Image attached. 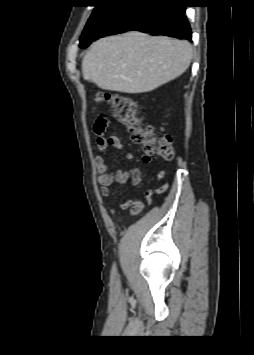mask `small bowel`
Segmentation results:
<instances>
[{
    "mask_svg": "<svg viewBox=\"0 0 254 355\" xmlns=\"http://www.w3.org/2000/svg\"><path fill=\"white\" fill-rule=\"evenodd\" d=\"M96 126V125H95ZM109 126V121L106 126V128L99 132L96 130V127L94 128L96 137H95V143L97 147V155L95 158V163L96 167L98 169V174L96 176V180L98 184L100 185V194L102 197L106 198L110 195V188L114 183H128L130 182L133 186H138L141 182V171L138 168H131L128 171H121L117 170L114 168H111L105 164V155L108 151V147L112 146L118 150L125 151V147L121 140L115 136V135H109L105 136L104 132ZM126 157L129 160L133 159V154L131 152H126ZM143 162L145 163H150L151 158L147 155L143 156ZM166 175V172L164 169H161L157 172V178L158 179H163ZM163 187V186H162ZM161 188H157L155 191H161ZM153 193V190H149L147 192V195H151ZM134 209L132 211V214H136L138 207L140 206L139 204H136V202L133 199H127L123 201L120 204V208L123 210H126L132 206H134ZM109 214L111 216H115V210L112 208H109L108 210Z\"/></svg>",
    "mask_w": 254,
    "mask_h": 355,
    "instance_id": "obj_1",
    "label": "small bowel"
}]
</instances>
